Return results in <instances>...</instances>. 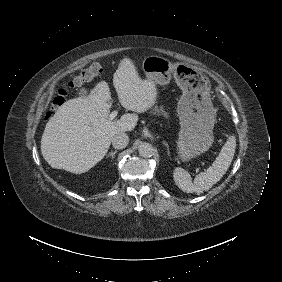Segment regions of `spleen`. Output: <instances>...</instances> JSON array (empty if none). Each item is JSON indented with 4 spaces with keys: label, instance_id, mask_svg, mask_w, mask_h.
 <instances>
[{
    "label": "spleen",
    "instance_id": "1",
    "mask_svg": "<svg viewBox=\"0 0 282 282\" xmlns=\"http://www.w3.org/2000/svg\"><path fill=\"white\" fill-rule=\"evenodd\" d=\"M235 148L236 138L230 136L212 165L207 171L196 175L194 182H192L191 176L186 170L176 168L173 174L176 185L187 193H202L209 190L227 172L233 160Z\"/></svg>",
    "mask_w": 282,
    "mask_h": 282
}]
</instances>
